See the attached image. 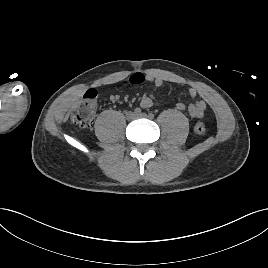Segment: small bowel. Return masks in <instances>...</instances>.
I'll return each instance as SVG.
<instances>
[{
	"label": "small bowel",
	"instance_id": "small-bowel-1",
	"mask_svg": "<svg viewBox=\"0 0 268 268\" xmlns=\"http://www.w3.org/2000/svg\"><path fill=\"white\" fill-rule=\"evenodd\" d=\"M127 82L130 84H141L143 82H149L152 84L155 90L161 88L164 84V80L161 77L152 75V74H143L141 72H136L132 74L128 79ZM198 95V92L195 88L191 87L188 89V96L191 99H195ZM120 100L118 95H113L110 97V101L115 103ZM141 107L148 109L153 105V101L149 96H143L140 101ZM176 108L178 110H184L186 105L182 102L176 104ZM188 113L193 118H201L203 117L205 110H206V102L204 100H198L194 103H191L187 106Z\"/></svg>",
	"mask_w": 268,
	"mask_h": 268
}]
</instances>
